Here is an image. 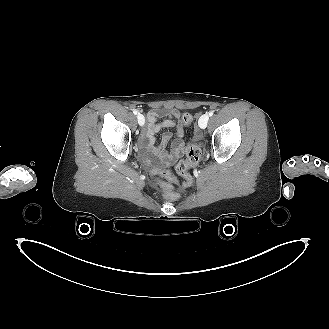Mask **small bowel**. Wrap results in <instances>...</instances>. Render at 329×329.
I'll return each instance as SVG.
<instances>
[{
    "label": "small bowel",
    "instance_id": "small-bowel-1",
    "mask_svg": "<svg viewBox=\"0 0 329 329\" xmlns=\"http://www.w3.org/2000/svg\"><path fill=\"white\" fill-rule=\"evenodd\" d=\"M147 123L141 136V147L146 160L152 164L167 166L178 160L184 152L183 126L179 123L180 112L177 109L154 108L147 113ZM161 120V122H159ZM176 127L175 138L170 150L166 146L171 140V134L165 133L159 144L155 134L162 128Z\"/></svg>",
    "mask_w": 329,
    "mask_h": 329
}]
</instances>
